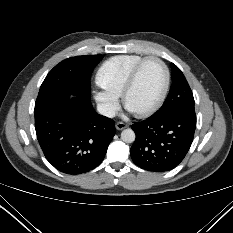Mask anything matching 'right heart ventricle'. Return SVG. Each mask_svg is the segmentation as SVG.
<instances>
[{
	"label": "right heart ventricle",
	"instance_id": "right-heart-ventricle-1",
	"mask_svg": "<svg viewBox=\"0 0 233 233\" xmlns=\"http://www.w3.org/2000/svg\"><path fill=\"white\" fill-rule=\"evenodd\" d=\"M143 58L137 54H125L107 59L97 71V83L101 88L121 95L131 70Z\"/></svg>",
	"mask_w": 233,
	"mask_h": 233
}]
</instances>
